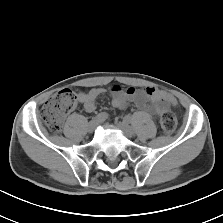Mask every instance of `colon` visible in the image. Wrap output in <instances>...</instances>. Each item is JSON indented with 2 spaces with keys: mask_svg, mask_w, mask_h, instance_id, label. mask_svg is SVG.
<instances>
[{
  "mask_svg": "<svg viewBox=\"0 0 223 223\" xmlns=\"http://www.w3.org/2000/svg\"><path fill=\"white\" fill-rule=\"evenodd\" d=\"M76 106V96L70 89H63L52 96L42 107L40 117L42 122L53 132L60 131L65 116ZM160 124L166 135H171L177 125L176 115L171 110H165L160 116Z\"/></svg>",
  "mask_w": 223,
  "mask_h": 223,
  "instance_id": "colon-1",
  "label": "colon"
}]
</instances>
